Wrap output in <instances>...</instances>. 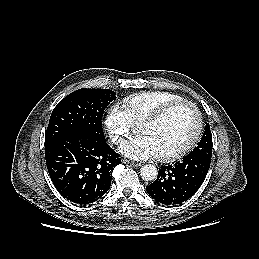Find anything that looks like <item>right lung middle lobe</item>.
Here are the masks:
<instances>
[{
    "mask_svg": "<svg viewBox=\"0 0 259 259\" xmlns=\"http://www.w3.org/2000/svg\"><path fill=\"white\" fill-rule=\"evenodd\" d=\"M114 99L116 93L109 89H79L70 93L52 111L45 144L78 133L104 139L102 116Z\"/></svg>",
    "mask_w": 259,
    "mask_h": 259,
    "instance_id": "right-lung-middle-lobe-1",
    "label": "right lung middle lobe"
}]
</instances>
